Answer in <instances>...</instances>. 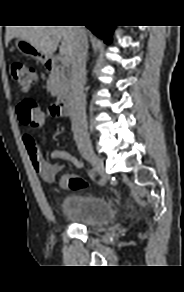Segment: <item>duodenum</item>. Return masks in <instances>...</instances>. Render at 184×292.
<instances>
[{"label":"duodenum","mask_w":184,"mask_h":292,"mask_svg":"<svg viewBox=\"0 0 184 292\" xmlns=\"http://www.w3.org/2000/svg\"><path fill=\"white\" fill-rule=\"evenodd\" d=\"M47 69L51 72L59 73L58 61L51 58L47 62ZM66 78L65 75L61 76ZM77 103V95L72 90H65L52 106V112L62 117L72 115Z\"/></svg>","instance_id":"410a0bca"}]
</instances>
